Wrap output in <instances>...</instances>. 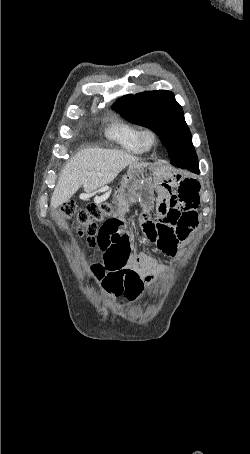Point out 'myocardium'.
<instances>
[{
	"instance_id": "obj_1",
	"label": "myocardium",
	"mask_w": 250,
	"mask_h": 454,
	"mask_svg": "<svg viewBox=\"0 0 250 454\" xmlns=\"http://www.w3.org/2000/svg\"><path fill=\"white\" fill-rule=\"evenodd\" d=\"M139 141L145 150H151L157 145V133L150 127H143L139 132Z\"/></svg>"
}]
</instances>
